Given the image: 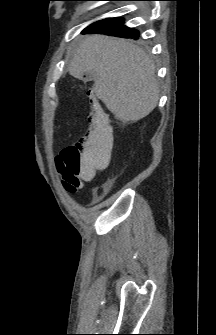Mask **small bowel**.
Segmentation results:
<instances>
[{"mask_svg":"<svg viewBox=\"0 0 216 335\" xmlns=\"http://www.w3.org/2000/svg\"><path fill=\"white\" fill-rule=\"evenodd\" d=\"M111 141V140H110ZM57 163V162H56ZM93 178H82V180H83V183H82V185H78V189H81L82 187H83V185H84V183L85 182H89L90 180H92Z\"/></svg>","mask_w":216,"mask_h":335,"instance_id":"1","label":"small bowel"}]
</instances>
